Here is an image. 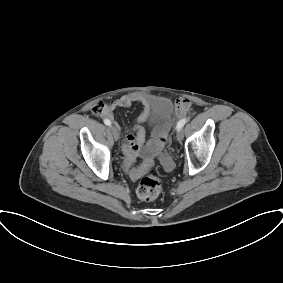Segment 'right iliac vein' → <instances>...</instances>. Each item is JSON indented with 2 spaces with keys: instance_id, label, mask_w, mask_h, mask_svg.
<instances>
[{
  "instance_id": "1",
  "label": "right iliac vein",
  "mask_w": 283,
  "mask_h": 283,
  "mask_svg": "<svg viewBox=\"0 0 283 283\" xmlns=\"http://www.w3.org/2000/svg\"><path fill=\"white\" fill-rule=\"evenodd\" d=\"M109 129H110V131H111V133H112L114 139H115V140H118V139H119V132H118V130L116 129V127L110 126Z\"/></svg>"
}]
</instances>
